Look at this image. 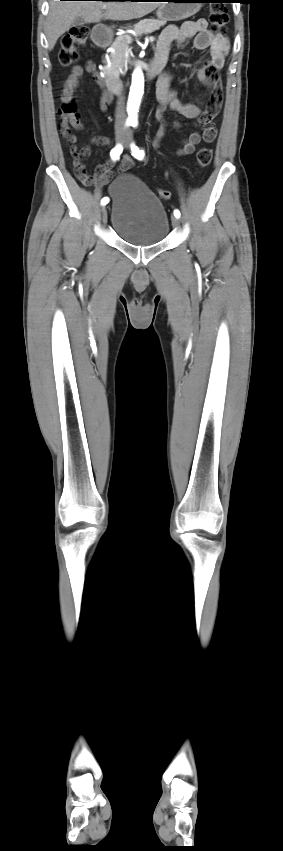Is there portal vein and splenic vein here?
<instances>
[{
  "label": "portal vein and splenic vein",
  "instance_id": "portal-vein-and-splenic-vein-1",
  "mask_svg": "<svg viewBox=\"0 0 283 851\" xmlns=\"http://www.w3.org/2000/svg\"><path fill=\"white\" fill-rule=\"evenodd\" d=\"M127 39H128V41H131V38L129 36L127 37ZM154 40H155V38L153 36L148 37V41L153 42Z\"/></svg>",
  "mask_w": 283,
  "mask_h": 851
}]
</instances>
